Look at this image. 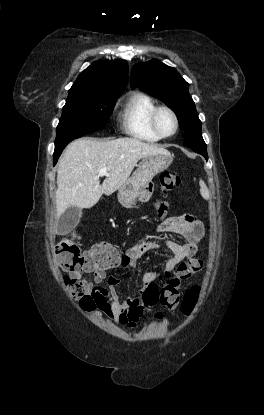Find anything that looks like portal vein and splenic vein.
<instances>
[{
    "instance_id": "obj_1",
    "label": "portal vein and splenic vein",
    "mask_w": 264,
    "mask_h": 415,
    "mask_svg": "<svg viewBox=\"0 0 264 415\" xmlns=\"http://www.w3.org/2000/svg\"><path fill=\"white\" fill-rule=\"evenodd\" d=\"M98 174H99V176H107V175H108V170H107V168H101V169L98 171Z\"/></svg>"
}]
</instances>
